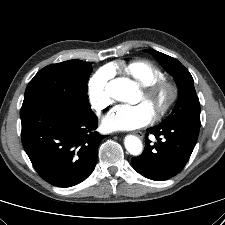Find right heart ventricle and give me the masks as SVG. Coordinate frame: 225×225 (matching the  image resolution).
<instances>
[{"instance_id":"obj_1","label":"right heart ventricle","mask_w":225,"mask_h":225,"mask_svg":"<svg viewBox=\"0 0 225 225\" xmlns=\"http://www.w3.org/2000/svg\"><path fill=\"white\" fill-rule=\"evenodd\" d=\"M120 68L126 75L133 78L141 86L150 84L164 77L163 71L148 60L138 59L121 66L110 67L113 71Z\"/></svg>"}]
</instances>
